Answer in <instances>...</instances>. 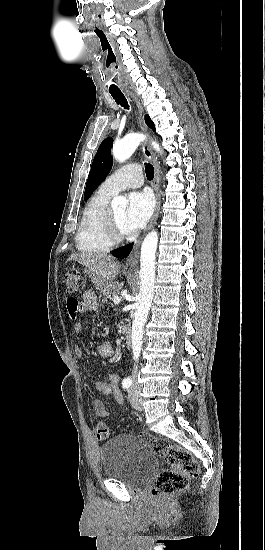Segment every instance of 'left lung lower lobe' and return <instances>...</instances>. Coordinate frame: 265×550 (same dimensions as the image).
<instances>
[{"instance_id":"0a47b994","label":"left lung lower lobe","mask_w":265,"mask_h":550,"mask_svg":"<svg viewBox=\"0 0 265 550\" xmlns=\"http://www.w3.org/2000/svg\"><path fill=\"white\" fill-rule=\"evenodd\" d=\"M132 246H133V244H129V245H127V246H124V247H122V248H119V249H117L116 251H114V252L112 253V255L115 256V257H118V258H125V257H127V255L129 254V252L131 251Z\"/></svg>"}]
</instances>
